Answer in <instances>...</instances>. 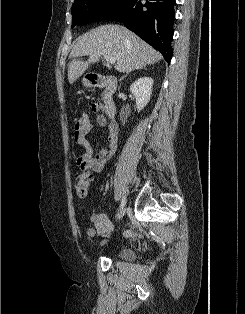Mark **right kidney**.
<instances>
[{
	"mask_svg": "<svg viewBox=\"0 0 245 314\" xmlns=\"http://www.w3.org/2000/svg\"><path fill=\"white\" fill-rule=\"evenodd\" d=\"M153 82L151 77H142L130 86V92L136 98V108L138 112L143 110L150 101Z\"/></svg>",
	"mask_w": 245,
	"mask_h": 314,
	"instance_id": "right-kidney-1",
	"label": "right kidney"
}]
</instances>
